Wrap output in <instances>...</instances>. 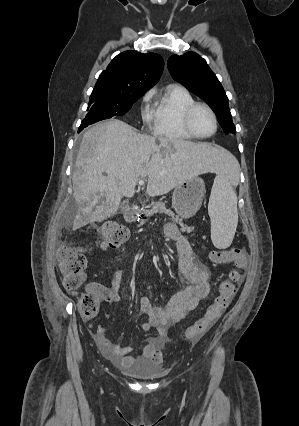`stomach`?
<instances>
[{
	"label": "stomach",
	"instance_id": "0dacf381",
	"mask_svg": "<svg viewBox=\"0 0 299 426\" xmlns=\"http://www.w3.org/2000/svg\"><path fill=\"white\" fill-rule=\"evenodd\" d=\"M204 196L205 184L202 179L184 181L174 189L172 208L181 218H191L200 209Z\"/></svg>",
	"mask_w": 299,
	"mask_h": 426
}]
</instances>
